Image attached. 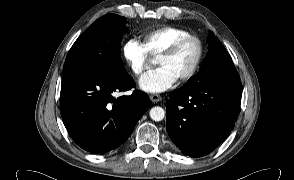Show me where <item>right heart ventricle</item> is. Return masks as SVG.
Listing matches in <instances>:
<instances>
[{"label":"right heart ventricle","instance_id":"right-heart-ventricle-1","mask_svg":"<svg viewBox=\"0 0 294 180\" xmlns=\"http://www.w3.org/2000/svg\"><path fill=\"white\" fill-rule=\"evenodd\" d=\"M186 29L177 26H163L139 35L142 46L153 57H158L171 43L179 37L188 35Z\"/></svg>","mask_w":294,"mask_h":180}]
</instances>
